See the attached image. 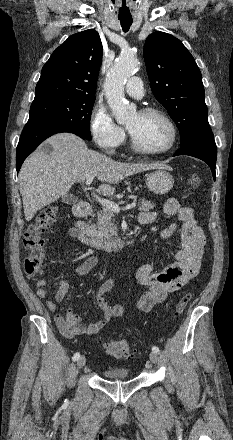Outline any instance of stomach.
I'll list each match as a JSON object with an SVG mask.
<instances>
[{
	"label": "stomach",
	"mask_w": 233,
	"mask_h": 440,
	"mask_svg": "<svg viewBox=\"0 0 233 440\" xmlns=\"http://www.w3.org/2000/svg\"><path fill=\"white\" fill-rule=\"evenodd\" d=\"M146 185L150 192L157 195H163L172 189L174 179L166 170L157 169L146 176Z\"/></svg>",
	"instance_id": "stomach-1"
}]
</instances>
